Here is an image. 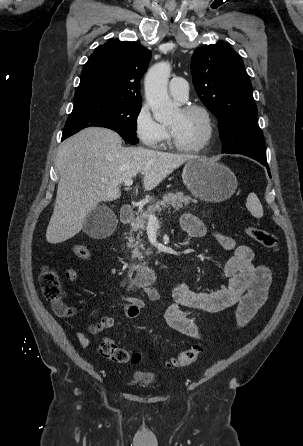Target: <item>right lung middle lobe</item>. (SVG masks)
Listing matches in <instances>:
<instances>
[{"instance_id":"right-lung-middle-lobe-1","label":"right lung middle lobe","mask_w":303,"mask_h":446,"mask_svg":"<svg viewBox=\"0 0 303 446\" xmlns=\"http://www.w3.org/2000/svg\"><path fill=\"white\" fill-rule=\"evenodd\" d=\"M141 104L101 102L74 107L66 121L62 140L91 126L106 127L116 131L125 141L136 144V120Z\"/></svg>"}]
</instances>
